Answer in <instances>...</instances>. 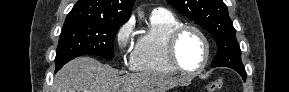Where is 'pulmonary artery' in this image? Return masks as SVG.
I'll list each match as a JSON object with an SVG mask.
<instances>
[{"mask_svg":"<svg viewBox=\"0 0 289 92\" xmlns=\"http://www.w3.org/2000/svg\"><path fill=\"white\" fill-rule=\"evenodd\" d=\"M162 10H164V9H162V8H156V9H154V11H162Z\"/></svg>","mask_w":289,"mask_h":92,"instance_id":"e3ab8cb5","label":"pulmonary artery"}]
</instances>
